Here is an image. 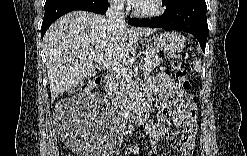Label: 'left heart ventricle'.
Segmentation results:
<instances>
[{"label": "left heart ventricle", "mask_w": 247, "mask_h": 156, "mask_svg": "<svg viewBox=\"0 0 247 156\" xmlns=\"http://www.w3.org/2000/svg\"><path fill=\"white\" fill-rule=\"evenodd\" d=\"M137 6L145 11V10H148L149 8H151L152 6V1H141L140 3L137 4Z\"/></svg>", "instance_id": "b2bd125f"}]
</instances>
